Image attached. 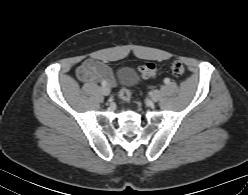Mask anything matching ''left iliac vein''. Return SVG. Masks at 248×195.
Returning <instances> with one entry per match:
<instances>
[{"mask_svg": "<svg viewBox=\"0 0 248 195\" xmlns=\"http://www.w3.org/2000/svg\"><path fill=\"white\" fill-rule=\"evenodd\" d=\"M151 99H152L153 102L159 101V99H160V92L158 90H154L151 93Z\"/></svg>", "mask_w": 248, "mask_h": 195, "instance_id": "1", "label": "left iliac vein"}]
</instances>
